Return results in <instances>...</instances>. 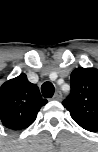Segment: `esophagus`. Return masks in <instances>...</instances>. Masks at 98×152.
I'll return each mask as SVG.
<instances>
[{
	"label": "esophagus",
	"mask_w": 98,
	"mask_h": 152,
	"mask_svg": "<svg viewBox=\"0 0 98 152\" xmlns=\"http://www.w3.org/2000/svg\"><path fill=\"white\" fill-rule=\"evenodd\" d=\"M54 100H61L62 99V93L61 91L57 90L54 94V97H53Z\"/></svg>",
	"instance_id": "esophagus-1"
}]
</instances>
